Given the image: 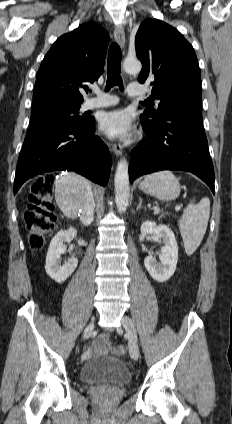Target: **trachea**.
<instances>
[{
  "instance_id": "obj_1",
  "label": "trachea",
  "mask_w": 232,
  "mask_h": 424,
  "mask_svg": "<svg viewBox=\"0 0 232 424\" xmlns=\"http://www.w3.org/2000/svg\"><path fill=\"white\" fill-rule=\"evenodd\" d=\"M120 65L121 49L118 44L112 43L108 52L106 90H110L115 85H118L120 89H123ZM144 103H149V101L146 100Z\"/></svg>"
}]
</instances>
